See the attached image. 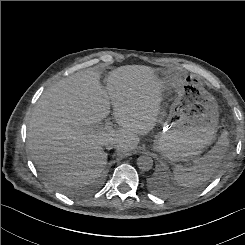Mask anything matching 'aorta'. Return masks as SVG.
<instances>
[{
	"instance_id": "obj_1",
	"label": "aorta",
	"mask_w": 245,
	"mask_h": 245,
	"mask_svg": "<svg viewBox=\"0 0 245 245\" xmlns=\"http://www.w3.org/2000/svg\"><path fill=\"white\" fill-rule=\"evenodd\" d=\"M137 166L142 171H149L153 167V159L148 155L137 158Z\"/></svg>"
}]
</instances>
